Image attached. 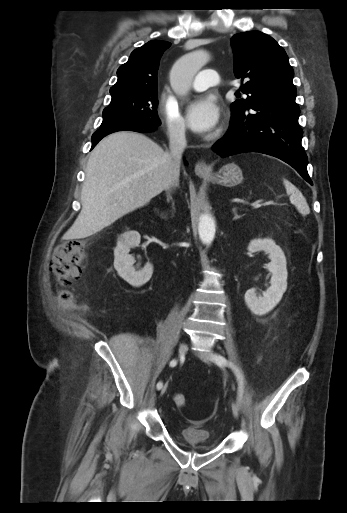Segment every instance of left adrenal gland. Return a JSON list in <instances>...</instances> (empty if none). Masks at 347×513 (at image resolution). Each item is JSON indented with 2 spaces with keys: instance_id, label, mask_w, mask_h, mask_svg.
<instances>
[{
  "instance_id": "left-adrenal-gland-1",
  "label": "left adrenal gland",
  "mask_w": 347,
  "mask_h": 513,
  "mask_svg": "<svg viewBox=\"0 0 347 513\" xmlns=\"http://www.w3.org/2000/svg\"><path fill=\"white\" fill-rule=\"evenodd\" d=\"M232 212L234 214L233 220H237V219L241 218V216H239L238 213H237V208L236 207L232 209Z\"/></svg>"
}]
</instances>
